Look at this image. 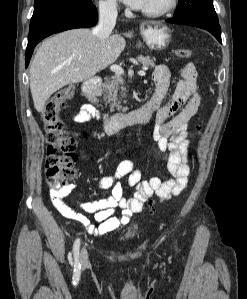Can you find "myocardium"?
Wrapping results in <instances>:
<instances>
[{"mask_svg": "<svg viewBox=\"0 0 247 299\" xmlns=\"http://www.w3.org/2000/svg\"><path fill=\"white\" fill-rule=\"evenodd\" d=\"M177 0H165V2L155 8L143 9L142 13L151 18H157L170 12L176 5Z\"/></svg>", "mask_w": 247, "mask_h": 299, "instance_id": "obj_1", "label": "myocardium"}]
</instances>
